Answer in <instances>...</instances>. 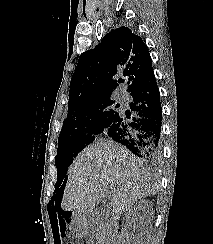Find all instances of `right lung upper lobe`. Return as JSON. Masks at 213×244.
<instances>
[{"mask_svg": "<svg viewBox=\"0 0 213 244\" xmlns=\"http://www.w3.org/2000/svg\"><path fill=\"white\" fill-rule=\"evenodd\" d=\"M147 46L128 27L112 29L95 49L80 55L72 76L68 109L85 105L111 93L119 86L114 80L118 70L128 78L132 92L152 69Z\"/></svg>", "mask_w": 213, "mask_h": 244, "instance_id": "right-lung-upper-lobe-1", "label": "right lung upper lobe"}]
</instances>
